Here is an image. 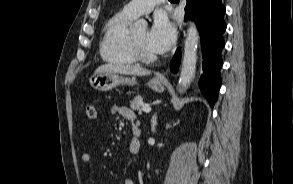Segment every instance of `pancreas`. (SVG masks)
Returning <instances> with one entry per match:
<instances>
[{
    "instance_id": "obj_1",
    "label": "pancreas",
    "mask_w": 293,
    "mask_h": 184,
    "mask_svg": "<svg viewBox=\"0 0 293 184\" xmlns=\"http://www.w3.org/2000/svg\"><path fill=\"white\" fill-rule=\"evenodd\" d=\"M145 103L143 101V98L140 95H137L131 102H130V107L133 110H138L139 112L142 111Z\"/></svg>"
}]
</instances>
